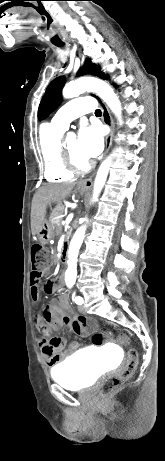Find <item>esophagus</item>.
Here are the masks:
<instances>
[{"instance_id": "obj_1", "label": "esophagus", "mask_w": 165, "mask_h": 461, "mask_svg": "<svg viewBox=\"0 0 165 461\" xmlns=\"http://www.w3.org/2000/svg\"><path fill=\"white\" fill-rule=\"evenodd\" d=\"M102 113H103L104 123L107 124L110 128L109 134L106 138V146H105V152H104V156H105L107 152L109 151V148L112 144V138L114 135V126H113V120L109 112V109L104 103L102 104ZM93 178H94V175L84 180H81L78 185L83 188H91L93 185Z\"/></svg>"}]
</instances>
